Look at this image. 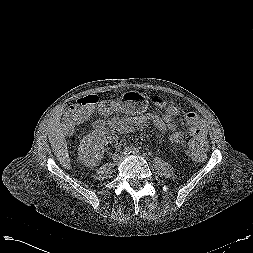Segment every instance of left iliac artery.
I'll return each mask as SVG.
<instances>
[{
	"mask_svg": "<svg viewBox=\"0 0 253 253\" xmlns=\"http://www.w3.org/2000/svg\"><path fill=\"white\" fill-rule=\"evenodd\" d=\"M132 152H133V154H138L139 150L134 148Z\"/></svg>",
	"mask_w": 253,
	"mask_h": 253,
	"instance_id": "left-iliac-artery-1",
	"label": "left iliac artery"
}]
</instances>
